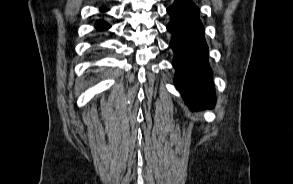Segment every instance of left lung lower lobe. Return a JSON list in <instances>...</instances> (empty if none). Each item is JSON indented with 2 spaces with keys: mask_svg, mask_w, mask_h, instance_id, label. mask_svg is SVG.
I'll use <instances>...</instances> for the list:
<instances>
[{
  "mask_svg": "<svg viewBox=\"0 0 293 184\" xmlns=\"http://www.w3.org/2000/svg\"><path fill=\"white\" fill-rule=\"evenodd\" d=\"M167 12L171 16L167 30L172 34L170 46L175 53V86L192 110L210 108L215 96L199 9L191 0H175Z\"/></svg>",
  "mask_w": 293,
  "mask_h": 184,
  "instance_id": "obj_1",
  "label": "left lung lower lobe"
}]
</instances>
